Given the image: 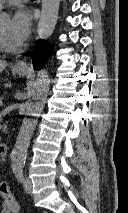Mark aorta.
<instances>
[{"instance_id": "1", "label": "aorta", "mask_w": 128, "mask_h": 213, "mask_svg": "<svg viewBox=\"0 0 128 213\" xmlns=\"http://www.w3.org/2000/svg\"><path fill=\"white\" fill-rule=\"evenodd\" d=\"M60 0H42L41 15L38 22V37L48 39L58 20ZM50 80L45 69L38 72V80L31 90V98L26 103V117L22 121L14 148L11 153V167L21 168L24 166L31 136L37 125L36 117L43 109L41 102L48 94Z\"/></svg>"}]
</instances>
